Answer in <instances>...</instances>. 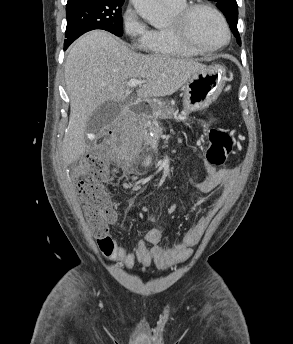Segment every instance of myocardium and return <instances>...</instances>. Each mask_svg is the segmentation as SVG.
<instances>
[{
  "label": "myocardium",
  "mask_w": 293,
  "mask_h": 344,
  "mask_svg": "<svg viewBox=\"0 0 293 344\" xmlns=\"http://www.w3.org/2000/svg\"><path fill=\"white\" fill-rule=\"evenodd\" d=\"M199 9L208 10V11L212 12L219 19V21L221 22V24L224 27L225 34H226V38H225L223 43H221L215 47L207 48V47L199 46L198 44H196L192 40V38L189 34V30H188L189 20H190L192 14L196 10H199ZM169 30H170L171 34L182 45H184L188 49H190L196 53H200V54H209V53L218 52L221 49L225 48L231 40V30H230L229 24H228L225 16L223 15V13L219 9H217L215 6H213L209 3H205V2H196V3L189 4V5L185 6L183 9H181L180 11H178L176 14H174L171 17V22L169 24Z\"/></svg>",
  "instance_id": "myocardium-1"
}]
</instances>
